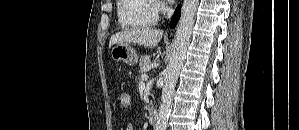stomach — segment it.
Returning <instances> with one entry per match:
<instances>
[{
	"mask_svg": "<svg viewBox=\"0 0 299 130\" xmlns=\"http://www.w3.org/2000/svg\"><path fill=\"white\" fill-rule=\"evenodd\" d=\"M110 55L115 62H124L129 66L135 65L138 61V55L130 44H115Z\"/></svg>",
	"mask_w": 299,
	"mask_h": 130,
	"instance_id": "stomach-1",
	"label": "stomach"
}]
</instances>
